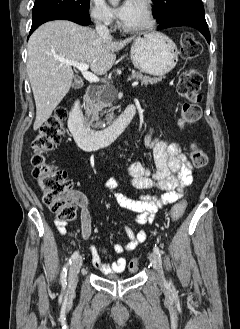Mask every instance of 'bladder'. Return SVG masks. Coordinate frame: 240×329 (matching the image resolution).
Here are the masks:
<instances>
[{
  "mask_svg": "<svg viewBox=\"0 0 240 329\" xmlns=\"http://www.w3.org/2000/svg\"><path fill=\"white\" fill-rule=\"evenodd\" d=\"M111 279L118 280V279H120V278H118V277H114V278H111Z\"/></svg>",
  "mask_w": 240,
  "mask_h": 329,
  "instance_id": "1",
  "label": "bladder"
}]
</instances>
